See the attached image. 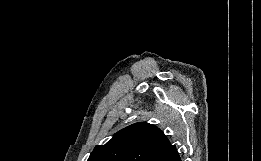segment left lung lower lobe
Wrapping results in <instances>:
<instances>
[{
	"label": "left lung lower lobe",
	"mask_w": 261,
	"mask_h": 161,
	"mask_svg": "<svg viewBox=\"0 0 261 161\" xmlns=\"http://www.w3.org/2000/svg\"><path fill=\"white\" fill-rule=\"evenodd\" d=\"M152 161H181L175 145H169L158 153Z\"/></svg>",
	"instance_id": "0a47b994"
}]
</instances>
